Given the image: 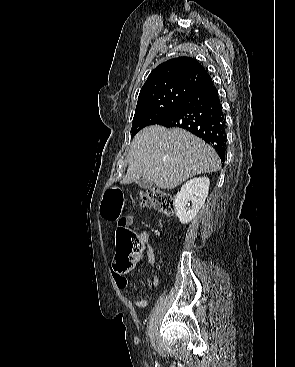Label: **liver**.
<instances>
[{
  "mask_svg": "<svg viewBox=\"0 0 295 367\" xmlns=\"http://www.w3.org/2000/svg\"><path fill=\"white\" fill-rule=\"evenodd\" d=\"M220 165L215 150L203 140L180 128L154 125L134 137L122 183L145 178L161 189H174L192 176L219 170Z\"/></svg>",
  "mask_w": 295,
  "mask_h": 367,
  "instance_id": "obj_1",
  "label": "liver"
}]
</instances>
